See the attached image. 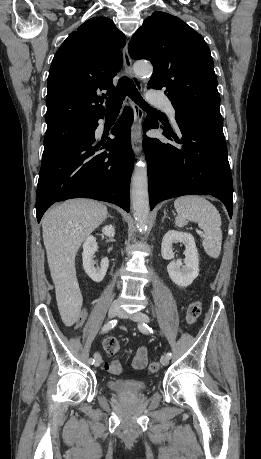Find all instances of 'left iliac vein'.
I'll list each match as a JSON object with an SVG mask.
<instances>
[{
	"label": "left iliac vein",
	"instance_id": "1",
	"mask_svg": "<svg viewBox=\"0 0 261 459\" xmlns=\"http://www.w3.org/2000/svg\"><path fill=\"white\" fill-rule=\"evenodd\" d=\"M119 317L121 318H129L133 321L140 323H148L149 322V317L148 315L142 313V312H136V313H128L126 311H120ZM160 362L162 365L166 366L169 364V357L167 355L161 356Z\"/></svg>",
	"mask_w": 261,
	"mask_h": 459
}]
</instances>
